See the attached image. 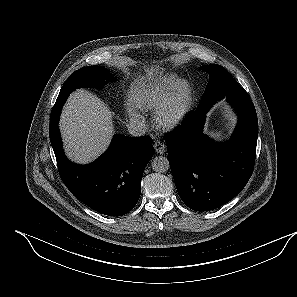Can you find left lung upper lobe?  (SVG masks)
<instances>
[{
  "label": "left lung upper lobe",
  "instance_id": "obj_1",
  "mask_svg": "<svg viewBox=\"0 0 297 297\" xmlns=\"http://www.w3.org/2000/svg\"><path fill=\"white\" fill-rule=\"evenodd\" d=\"M200 69L209 74V82L199 107L216 102L224 97L249 96L224 67L220 65H205L201 66Z\"/></svg>",
  "mask_w": 297,
  "mask_h": 297
}]
</instances>
